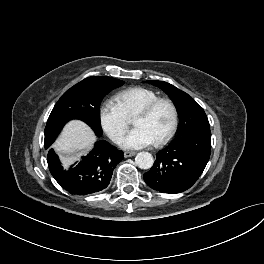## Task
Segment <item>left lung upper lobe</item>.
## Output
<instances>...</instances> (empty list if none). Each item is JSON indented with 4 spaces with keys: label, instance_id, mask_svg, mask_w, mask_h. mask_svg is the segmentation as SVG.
I'll return each instance as SVG.
<instances>
[{
    "label": "left lung upper lobe",
    "instance_id": "obj_1",
    "mask_svg": "<svg viewBox=\"0 0 264 264\" xmlns=\"http://www.w3.org/2000/svg\"><path fill=\"white\" fill-rule=\"evenodd\" d=\"M147 82L161 88L177 107L180 125L174 140L186 138L198 131L210 130L204 110L191 96L163 81L148 80Z\"/></svg>",
    "mask_w": 264,
    "mask_h": 264
}]
</instances>
